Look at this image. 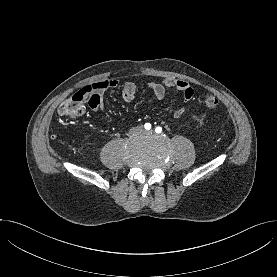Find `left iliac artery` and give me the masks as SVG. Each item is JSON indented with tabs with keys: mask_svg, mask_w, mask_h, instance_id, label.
<instances>
[{
	"mask_svg": "<svg viewBox=\"0 0 277 277\" xmlns=\"http://www.w3.org/2000/svg\"><path fill=\"white\" fill-rule=\"evenodd\" d=\"M155 132L158 133V134L161 133L162 132V128L160 126L156 127L155 128Z\"/></svg>",
	"mask_w": 277,
	"mask_h": 277,
	"instance_id": "left-iliac-artery-1",
	"label": "left iliac artery"
}]
</instances>
